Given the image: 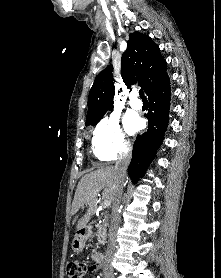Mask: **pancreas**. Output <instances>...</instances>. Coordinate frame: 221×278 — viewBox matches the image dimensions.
Returning a JSON list of instances; mask_svg holds the SVG:
<instances>
[{"instance_id":"obj_1","label":"pancreas","mask_w":221,"mask_h":278,"mask_svg":"<svg viewBox=\"0 0 221 278\" xmlns=\"http://www.w3.org/2000/svg\"><path fill=\"white\" fill-rule=\"evenodd\" d=\"M98 229V244H104L106 240V233L108 232L106 230V223L101 224L100 222L97 224Z\"/></svg>"}]
</instances>
